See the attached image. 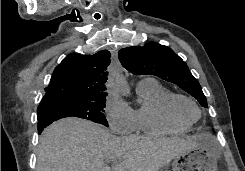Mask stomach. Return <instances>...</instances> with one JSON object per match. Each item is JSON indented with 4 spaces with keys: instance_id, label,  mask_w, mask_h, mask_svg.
Instances as JSON below:
<instances>
[{
    "instance_id": "obj_1",
    "label": "stomach",
    "mask_w": 245,
    "mask_h": 171,
    "mask_svg": "<svg viewBox=\"0 0 245 171\" xmlns=\"http://www.w3.org/2000/svg\"><path fill=\"white\" fill-rule=\"evenodd\" d=\"M172 168L173 171H218L213 140L203 137L197 147L176 156Z\"/></svg>"
}]
</instances>
